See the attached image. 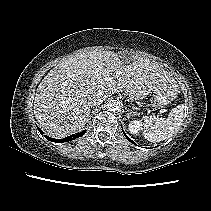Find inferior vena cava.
<instances>
[{"instance_id": "obj_1", "label": "inferior vena cava", "mask_w": 211, "mask_h": 211, "mask_svg": "<svg viewBox=\"0 0 211 211\" xmlns=\"http://www.w3.org/2000/svg\"><path fill=\"white\" fill-rule=\"evenodd\" d=\"M103 95L101 94H96V95H92L89 99L88 104L92 107V106H96V105H100L103 102Z\"/></svg>"}]
</instances>
